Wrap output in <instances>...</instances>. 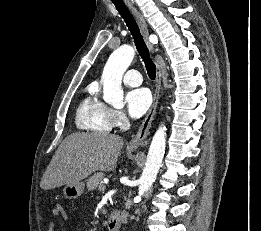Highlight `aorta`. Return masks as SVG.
<instances>
[{
  "label": "aorta",
  "mask_w": 261,
  "mask_h": 231,
  "mask_svg": "<svg viewBox=\"0 0 261 231\" xmlns=\"http://www.w3.org/2000/svg\"><path fill=\"white\" fill-rule=\"evenodd\" d=\"M135 55L133 47L123 45L109 57L103 73V99L114 107L123 106L122 77ZM166 146V127L161 125L153 136L146 164L139 180L138 196L149 190L161 167Z\"/></svg>",
  "instance_id": "1"
}]
</instances>
